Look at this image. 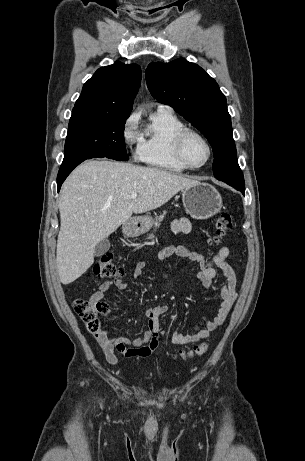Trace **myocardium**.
<instances>
[{"instance_id": "f54148a6", "label": "myocardium", "mask_w": 305, "mask_h": 461, "mask_svg": "<svg viewBox=\"0 0 305 461\" xmlns=\"http://www.w3.org/2000/svg\"><path fill=\"white\" fill-rule=\"evenodd\" d=\"M190 135H193V136H196L198 137L206 146L207 148V158L206 160L200 164V165H192L190 164L185 155H184V142L186 140V138ZM173 146H174V153H175V156L176 158L178 159V161L184 166L186 167L187 169H191V170H196V169H200L202 167H204L205 165L208 164V162L210 161L211 157H212V153H213V150H212V146L210 144V142L208 141V139L201 133L199 132L198 130L196 129H193V128H188V127H184L182 130H180L175 138H174V143H173Z\"/></svg>"}]
</instances>
